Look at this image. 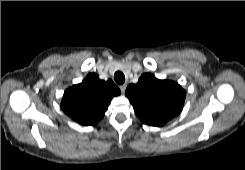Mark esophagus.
<instances>
[{
    "instance_id": "obj_1",
    "label": "esophagus",
    "mask_w": 245,
    "mask_h": 170,
    "mask_svg": "<svg viewBox=\"0 0 245 170\" xmlns=\"http://www.w3.org/2000/svg\"><path fill=\"white\" fill-rule=\"evenodd\" d=\"M126 87H127L126 84H123V85L120 86V90H121V92H122L123 94H124V92H125V90H126Z\"/></svg>"
}]
</instances>
